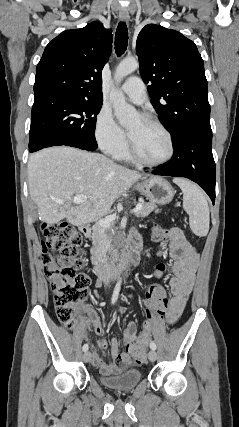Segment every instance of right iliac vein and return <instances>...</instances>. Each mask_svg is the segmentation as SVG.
Segmentation results:
<instances>
[{
    "mask_svg": "<svg viewBox=\"0 0 239 427\" xmlns=\"http://www.w3.org/2000/svg\"><path fill=\"white\" fill-rule=\"evenodd\" d=\"M83 360L85 362H90V360H91V353L89 351H87V352L84 353Z\"/></svg>",
    "mask_w": 239,
    "mask_h": 427,
    "instance_id": "right-iliac-vein-1",
    "label": "right iliac vein"
}]
</instances>
